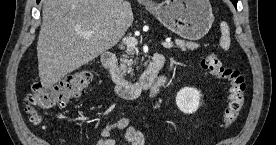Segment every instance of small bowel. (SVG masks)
<instances>
[{"instance_id": "1", "label": "small bowel", "mask_w": 276, "mask_h": 145, "mask_svg": "<svg viewBox=\"0 0 276 145\" xmlns=\"http://www.w3.org/2000/svg\"><path fill=\"white\" fill-rule=\"evenodd\" d=\"M157 92L150 93L154 97ZM114 129H124L125 138L122 145H145V137L141 131L130 125L127 118H122L116 122L108 124L100 134L98 145H117L115 140L110 137V132ZM64 144V141H61Z\"/></svg>"}]
</instances>
